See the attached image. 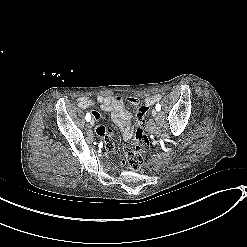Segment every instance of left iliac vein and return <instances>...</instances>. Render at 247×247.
Wrapping results in <instances>:
<instances>
[{
    "label": "left iliac vein",
    "instance_id": "4c4485c4",
    "mask_svg": "<svg viewBox=\"0 0 247 247\" xmlns=\"http://www.w3.org/2000/svg\"><path fill=\"white\" fill-rule=\"evenodd\" d=\"M157 115V112L155 110L152 111V116L155 117Z\"/></svg>",
    "mask_w": 247,
    "mask_h": 247
}]
</instances>
